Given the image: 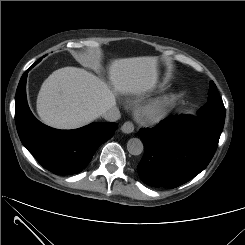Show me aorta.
Returning <instances> with one entry per match:
<instances>
[{
    "mask_svg": "<svg viewBox=\"0 0 245 245\" xmlns=\"http://www.w3.org/2000/svg\"><path fill=\"white\" fill-rule=\"evenodd\" d=\"M127 150L131 155H140L144 150V145L140 139L131 138L127 142Z\"/></svg>",
    "mask_w": 245,
    "mask_h": 245,
    "instance_id": "aorta-1",
    "label": "aorta"
}]
</instances>
